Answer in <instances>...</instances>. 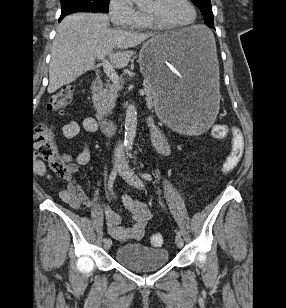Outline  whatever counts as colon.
<instances>
[{
  "label": "colon",
  "mask_w": 286,
  "mask_h": 308,
  "mask_svg": "<svg viewBox=\"0 0 286 308\" xmlns=\"http://www.w3.org/2000/svg\"><path fill=\"white\" fill-rule=\"evenodd\" d=\"M75 93L76 89L72 85L61 88L50 98L48 109L51 111H62L66 109L73 101ZM230 132L231 129L229 126L216 125L213 128V135L218 139L226 138ZM34 146L36 154L48 163L53 173L61 178L67 176V165L60 157L51 133L44 124L38 125L34 130ZM243 152L244 144L242 139L232 140L231 151L222 167L224 173L228 174L232 172L239 165ZM163 242L164 240L161 234H153L150 237V243L154 247L161 246Z\"/></svg>",
  "instance_id": "obj_1"
}]
</instances>
